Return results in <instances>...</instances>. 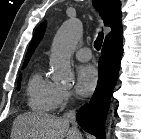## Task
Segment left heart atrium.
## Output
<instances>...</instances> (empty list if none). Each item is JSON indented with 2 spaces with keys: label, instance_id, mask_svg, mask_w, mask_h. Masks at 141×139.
I'll use <instances>...</instances> for the list:
<instances>
[{
  "label": "left heart atrium",
  "instance_id": "left-heart-atrium-1",
  "mask_svg": "<svg viewBox=\"0 0 141 139\" xmlns=\"http://www.w3.org/2000/svg\"><path fill=\"white\" fill-rule=\"evenodd\" d=\"M98 71L90 64L78 67L76 72L75 91L81 96L90 95L98 83Z\"/></svg>",
  "mask_w": 141,
  "mask_h": 139
}]
</instances>
